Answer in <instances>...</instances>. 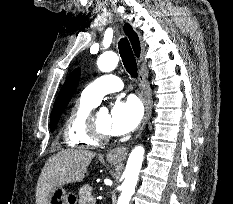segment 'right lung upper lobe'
I'll return each instance as SVG.
<instances>
[{"instance_id":"obj_1","label":"right lung upper lobe","mask_w":233,"mask_h":204,"mask_svg":"<svg viewBox=\"0 0 233 204\" xmlns=\"http://www.w3.org/2000/svg\"><path fill=\"white\" fill-rule=\"evenodd\" d=\"M124 31L131 41L135 55L139 57L141 52V47H140L138 35L135 33V31L132 29V27L129 24H125Z\"/></svg>"}]
</instances>
